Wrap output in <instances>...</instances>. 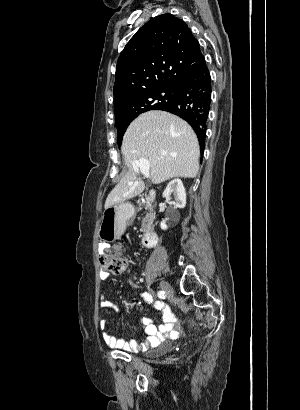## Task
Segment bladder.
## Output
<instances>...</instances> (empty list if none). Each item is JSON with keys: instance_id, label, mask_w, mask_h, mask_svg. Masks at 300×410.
Instances as JSON below:
<instances>
[{"instance_id": "1", "label": "bladder", "mask_w": 300, "mask_h": 410, "mask_svg": "<svg viewBox=\"0 0 300 410\" xmlns=\"http://www.w3.org/2000/svg\"><path fill=\"white\" fill-rule=\"evenodd\" d=\"M172 349V342L166 341L162 343L156 350L155 352H158L159 354H166Z\"/></svg>"}]
</instances>
